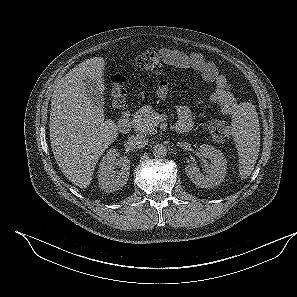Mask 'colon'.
Returning <instances> with one entry per match:
<instances>
[{"mask_svg": "<svg viewBox=\"0 0 297 297\" xmlns=\"http://www.w3.org/2000/svg\"><path fill=\"white\" fill-rule=\"evenodd\" d=\"M135 64L139 69L159 73L163 69V61L157 50L145 51L135 58ZM112 105L116 110H122L126 105V88L122 76L117 75L110 85ZM210 135L217 141H225L230 137L231 129L224 120L214 117L208 125Z\"/></svg>", "mask_w": 297, "mask_h": 297, "instance_id": "colon-1", "label": "colon"}]
</instances>
